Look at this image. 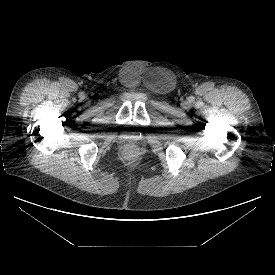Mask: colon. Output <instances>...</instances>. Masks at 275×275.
<instances>
[{"label": "colon", "instance_id": "1", "mask_svg": "<svg viewBox=\"0 0 275 275\" xmlns=\"http://www.w3.org/2000/svg\"><path fill=\"white\" fill-rule=\"evenodd\" d=\"M128 153H129L130 155H135V154L137 153V151H136L135 148L131 147V148L128 149Z\"/></svg>", "mask_w": 275, "mask_h": 275}]
</instances>
